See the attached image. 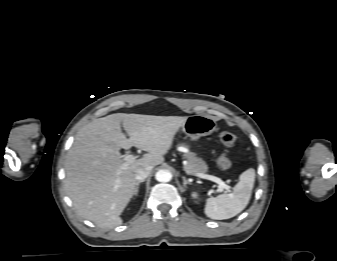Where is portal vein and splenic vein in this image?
I'll return each mask as SVG.
<instances>
[{
    "label": "portal vein and splenic vein",
    "instance_id": "obj_1",
    "mask_svg": "<svg viewBox=\"0 0 337 261\" xmlns=\"http://www.w3.org/2000/svg\"><path fill=\"white\" fill-rule=\"evenodd\" d=\"M136 157L134 155L128 154L124 157L125 162L122 164L121 169L126 168L128 165L135 161ZM196 176L213 181L219 185V191L221 192L225 189L227 192H230V186L227 185L223 180L218 177L207 175V174H196Z\"/></svg>",
    "mask_w": 337,
    "mask_h": 261
}]
</instances>
